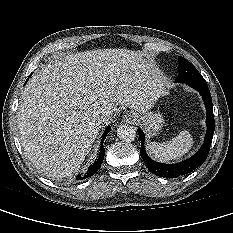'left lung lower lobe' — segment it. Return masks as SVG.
I'll return each mask as SVG.
<instances>
[{"instance_id": "0a47b994", "label": "left lung lower lobe", "mask_w": 233, "mask_h": 233, "mask_svg": "<svg viewBox=\"0 0 233 233\" xmlns=\"http://www.w3.org/2000/svg\"><path fill=\"white\" fill-rule=\"evenodd\" d=\"M186 84L196 89L201 94L207 110V118H206L207 133L205 136L204 143L197 153H195L191 158L177 164L167 165V164L155 162L152 159H150L149 156L146 154V151L144 149L145 138L143 136L142 131L138 129L139 138L141 140V150H140L141 157L145 162L146 166L149 168V170L160 177L175 178L193 171L194 169H196L197 167L201 166L204 163L210 150V146L214 134L215 123H214V115H213L212 98L210 95L209 88L206 82L203 83L191 82Z\"/></svg>"}]
</instances>
